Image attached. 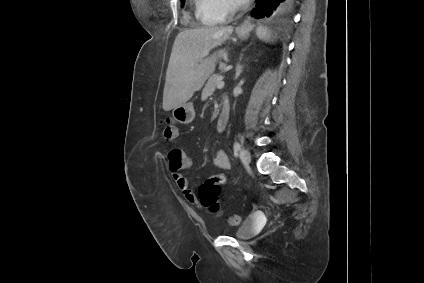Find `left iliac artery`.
<instances>
[{
	"instance_id": "obj_1",
	"label": "left iliac artery",
	"mask_w": 424,
	"mask_h": 283,
	"mask_svg": "<svg viewBox=\"0 0 424 283\" xmlns=\"http://www.w3.org/2000/svg\"><path fill=\"white\" fill-rule=\"evenodd\" d=\"M241 145L238 142L234 143L233 149H234V154L237 155L239 150H240Z\"/></svg>"
}]
</instances>
